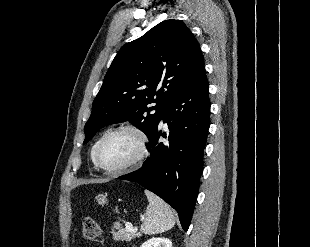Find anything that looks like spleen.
<instances>
[{
    "mask_svg": "<svg viewBox=\"0 0 310 247\" xmlns=\"http://www.w3.org/2000/svg\"><path fill=\"white\" fill-rule=\"evenodd\" d=\"M149 205L141 225V232L154 235L170 230L175 225L174 214L169 205L152 192L145 190Z\"/></svg>",
    "mask_w": 310,
    "mask_h": 247,
    "instance_id": "obj_1",
    "label": "spleen"
}]
</instances>
